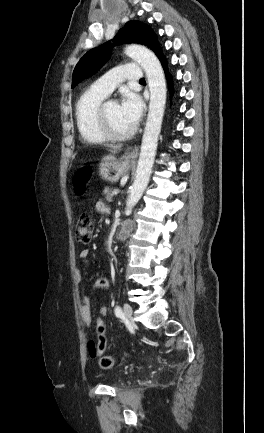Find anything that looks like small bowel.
Returning a JSON list of instances; mask_svg holds the SVG:
<instances>
[{"mask_svg":"<svg viewBox=\"0 0 264 433\" xmlns=\"http://www.w3.org/2000/svg\"><path fill=\"white\" fill-rule=\"evenodd\" d=\"M95 208L98 212H101V213H107L109 211L107 205L103 201H98L95 205ZM88 255H89V253L87 250H82L79 253L78 257L82 262L87 263ZM77 279L79 282H81L82 276H81L80 272H77ZM92 288L93 289H105V290L109 291L111 288V284L106 278H98L92 283ZM100 313L102 316H105L106 315V308L103 307L101 309ZM80 315H81V318H82V320L86 326L92 325L93 317H92V312H91L90 297L88 295H84L81 299ZM87 351H88V355L92 359L98 358V354H99L98 353V343L95 341H92V340L89 341L87 344Z\"/></svg>","mask_w":264,"mask_h":433,"instance_id":"small-bowel-1","label":"small bowel"}]
</instances>
